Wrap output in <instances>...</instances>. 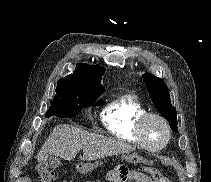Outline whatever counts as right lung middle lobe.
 <instances>
[{"mask_svg": "<svg viewBox=\"0 0 211 182\" xmlns=\"http://www.w3.org/2000/svg\"><path fill=\"white\" fill-rule=\"evenodd\" d=\"M55 91L56 97L50 103L45 117L55 115L59 118H69L75 116L83 108L93 104L103 93L93 87L76 84L63 78L58 81Z\"/></svg>", "mask_w": 211, "mask_h": 182, "instance_id": "right-lung-middle-lobe-1", "label": "right lung middle lobe"}]
</instances>
